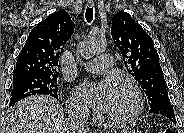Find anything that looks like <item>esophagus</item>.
I'll return each mask as SVG.
<instances>
[{
    "label": "esophagus",
    "mask_w": 184,
    "mask_h": 133,
    "mask_svg": "<svg viewBox=\"0 0 184 133\" xmlns=\"http://www.w3.org/2000/svg\"><path fill=\"white\" fill-rule=\"evenodd\" d=\"M88 4H89L90 6L93 5V1L89 0V1H88Z\"/></svg>",
    "instance_id": "obj_1"
}]
</instances>
